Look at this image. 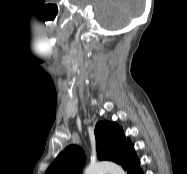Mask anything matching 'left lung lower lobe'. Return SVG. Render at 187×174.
Here are the masks:
<instances>
[{
	"instance_id": "1",
	"label": "left lung lower lobe",
	"mask_w": 187,
	"mask_h": 174,
	"mask_svg": "<svg viewBox=\"0 0 187 174\" xmlns=\"http://www.w3.org/2000/svg\"><path fill=\"white\" fill-rule=\"evenodd\" d=\"M129 174H143V172L140 169L139 164H137Z\"/></svg>"
}]
</instances>
